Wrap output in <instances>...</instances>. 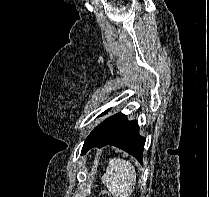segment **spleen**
<instances>
[{"label":"spleen","instance_id":"obj_1","mask_svg":"<svg viewBox=\"0 0 209 197\" xmlns=\"http://www.w3.org/2000/svg\"><path fill=\"white\" fill-rule=\"evenodd\" d=\"M102 182L113 197H129L136 184L135 168L129 161L111 158Z\"/></svg>","mask_w":209,"mask_h":197}]
</instances>
